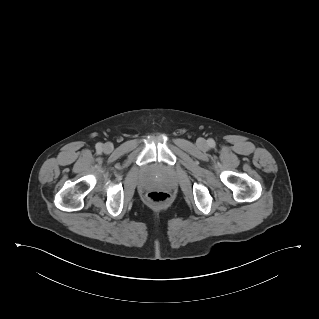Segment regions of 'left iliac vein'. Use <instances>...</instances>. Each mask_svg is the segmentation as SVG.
<instances>
[{
  "instance_id": "left-iliac-vein-1",
  "label": "left iliac vein",
  "mask_w": 319,
  "mask_h": 319,
  "mask_svg": "<svg viewBox=\"0 0 319 319\" xmlns=\"http://www.w3.org/2000/svg\"><path fill=\"white\" fill-rule=\"evenodd\" d=\"M198 144H199L200 147H205L206 146V142H205L204 139H200Z\"/></svg>"
}]
</instances>
